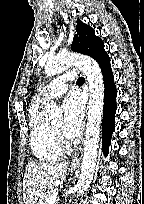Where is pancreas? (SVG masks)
Wrapping results in <instances>:
<instances>
[{
	"label": "pancreas",
	"mask_w": 144,
	"mask_h": 204,
	"mask_svg": "<svg viewBox=\"0 0 144 204\" xmlns=\"http://www.w3.org/2000/svg\"><path fill=\"white\" fill-rule=\"evenodd\" d=\"M54 195H55V192H53V191H46V192L42 193L38 204H49L48 198L50 196H54ZM51 204H56V201L52 202Z\"/></svg>",
	"instance_id": "obj_1"
}]
</instances>
